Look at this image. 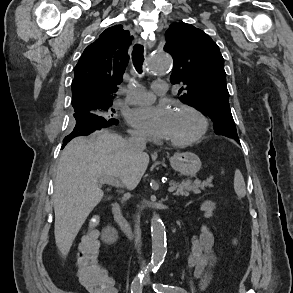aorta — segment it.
<instances>
[{
	"instance_id": "762f6f07",
	"label": "aorta",
	"mask_w": 293,
	"mask_h": 293,
	"mask_svg": "<svg viewBox=\"0 0 293 293\" xmlns=\"http://www.w3.org/2000/svg\"><path fill=\"white\" fill-rule=\"evenodd\" d=\"M172 66L171 56L164 52L153 51L146 64V72L149 75H159L168 72ZM152 236V256L150 268L155 269L160 266L166 255V232L165 225L157 213H153L151 218Z\"/></svg>"
}]
</instances>
